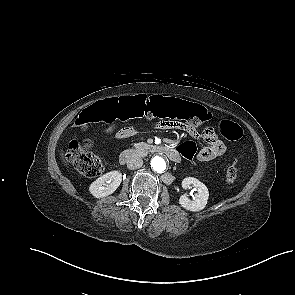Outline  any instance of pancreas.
<instances>
[{"label":"pancreas","instance_id":"1","mask_svg":"<svg viewBox=\"0 0 295 295\" xmlns=\"http://www.w3.org/2000/svg\"><path fill=\"white\" fill-rule=\"evenodd\" d=\"M151 145L144 143V142H139L134 144V151L137 154L143 153L145 150L149 149Z\"/></svg>","mask_w":295,"mask_h":295}]
</instances>
